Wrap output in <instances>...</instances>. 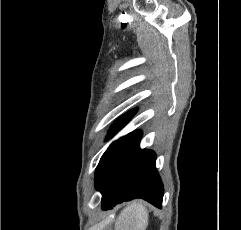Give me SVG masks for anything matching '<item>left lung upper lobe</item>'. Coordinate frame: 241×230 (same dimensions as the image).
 I'll return each mask as SVG.
<instances>
[{
  "label": "left lung upper lobe",
  "instance_id": "left-lung-upper-lobe-1",
  "mask_svg": "<svg viewBox=\"0 0 241 230\" xmlns=\"http://www.w3.org/2000/svg\"><path fill=\"white\" fill-rule=\"evenodd\" d=\"M136 113V109L129 111L128 113L121 116L111 127L107 138L112 137L120 128H122Z\"/></svg>",
  "mask_w": 241,
  "mask_h": 230
}]
</instances>
